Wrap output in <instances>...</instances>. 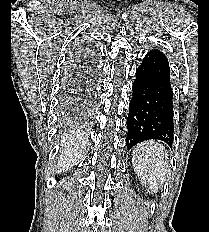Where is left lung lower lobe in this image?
<instances>
[{
    "label": "left lung lower lobe",
    "instance_id": "0a47b994",
    "mask_svg": "<svg viewBox=\"0 0 209 232\" xmlns=\"http://www.w3.org/2000/svg\"><path fill=\"white\" fill-rule=\"evenodd\" d=\"M127 118L126 147L145 140H160L172 147L173 91L169 62L163 52L149 51L136 70Z\"/></svg>",
    "mask_w": 209,
    "mask_h": 232
}]
</instances>
